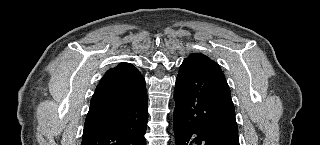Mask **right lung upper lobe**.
<instances>
[{"instance_id": "cb5924a9", "label": "right lung upper lobe", "mask_w": 320, "mask_h": 145, "mask_svg": "<svg viewBox=\"0 0 320 145\" xmlns=\"http://www.w3.org/2000/svg\"><path fill=\"white\" fill-rule=\"evenodd\" d=\"M142 78L139 71L126 62L109 69L102 77L92 96L87 116L99 114L115 107L126 95L122 91Z\"/></svg>"}]
</instances>
